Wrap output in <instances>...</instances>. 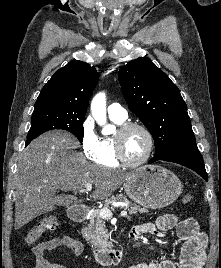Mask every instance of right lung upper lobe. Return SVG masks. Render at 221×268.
<instances>
[{"instance_id":"obj_1","label":"right lung upper lobe","mask_w":221,"mask_h":268,"mask_svg":"<svg viewBox=\"0 0 221 268\" xmlns=\"http://www.w3.org/2000/svg\"><path fill=\"white\" fill-rule=\"evenodd\" d=\"M99 73L89 64L72 60L54 73L42 88L34 111L57 109L86 114Z\"/></svg>"}]
</instances>
